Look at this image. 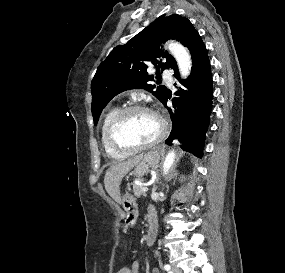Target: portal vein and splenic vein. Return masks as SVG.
I'll use <instances>...</instances> for the list:
<instances>
[{"instance_id":"18ae733b","label":"portal vein and splenic vein","mask_w":285,"mask_h":273,"mask_svg":"<svg viewBox=\"0 0 285 273\" xmlns=\"http://www.w3.org/2000/svg\"><path fill=\"white\" fill-rule=\"evenodd\" d=\"M141 190H142L143 192H147V191H148V188H147V186H143Z\"/></svg>"}]
</instances>
